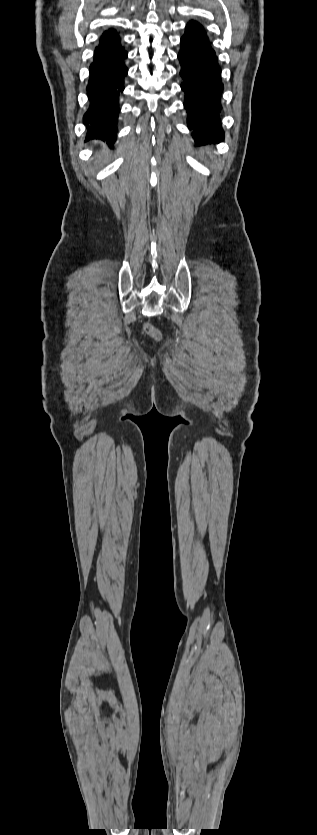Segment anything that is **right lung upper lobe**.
Instances as JSON below:
<instances>
[{"label": "right lung upper lobe", "instance_id": "right-lung-upper-lobe-1", "mask_svg": "<svg viewBox=\"0 0 317 835\" xmlns=\"http://www.w3.org/2000/svg\"><path fill=\"white\" fill-rule=\"evenodd\" d=\"M103 35L105 37H108V38H111V39H117L118 38V33L116 31H114L113 29H109L108 31L104 32Z\"/></svg>", "mask_w": 317, "mask_h": 835}]
</instances>
